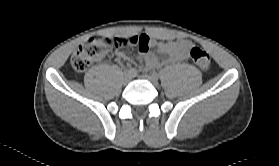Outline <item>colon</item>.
I'll list each match as a JSON object with an SVG mask.
<instances>
[{
    "label": "colon",
    "instance_id": "colon-1",
    "mask_svg": "<svg viewBox=\"0 0 279 166\" xmlns=\"http://www.w3.org/2000/svg\"><path fill=\"white\" fill-rule=\"evenodd\" d=\"M144 38H91L83 43L72 55L71 65L78 72L85 71L92 63L102 59L112 46L123 48L130 44H144ZM193 63L201 70H208L211 65V57L207 51L199 47H193L190 51Z\"/></svg>",
    "mask_w": 279,
    "mask_h": 166
}]
</instances>
